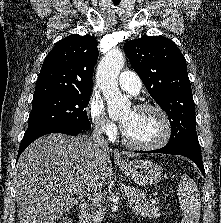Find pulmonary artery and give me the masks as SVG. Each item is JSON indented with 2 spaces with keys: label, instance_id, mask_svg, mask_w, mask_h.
<instances>
[{
  "label": "pulmonary artery",
  "instance_id": "pulmonary-artery-1",
  "mask_svg": "<svg viewBox=\"0 0 221 223\" xmlns=\"http://www.w3.org/2000/svg\"><path fill=\"white\" fill-rule=\"evenodd\" d=\"M118 83L121 89L131 94H137L142 87L140 77L132 71H123L118 78Z\"/></svg>",
  "mask_w": 221,
  "mask_h": 223
}]
</instances>
